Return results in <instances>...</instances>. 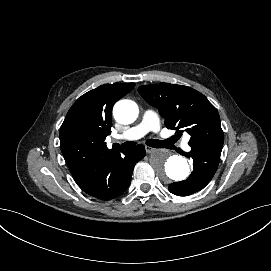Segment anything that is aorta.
<instances>
[{"mask_svg": "<svg viewBox=\"0 0 271 271\" xmlns=\"http://www.w3.org/2000/svg\"><path fill=\"white\" fill-rule=\"evenodd\" d=\"M113 114L119 123L131 124L137 119L139 109L131 100H120L115 104ZM150 164L163 180L181 181L190 173V165L185 157L166 150L153 152L150 156Z\"/></svg>", "mask_w": 271, "mask_h": 271, "instance_id": "762f6f07", "label": "aorta"}]
</instances>
